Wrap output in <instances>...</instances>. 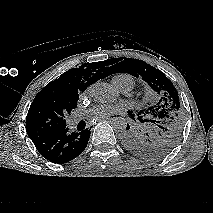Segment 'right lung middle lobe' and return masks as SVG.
<instances>
[{
    "label": "right lung middle lobe",
    "mask_w": 213,
    "mask_h": 213,
    "mask_svg": "<svg viewBox=\"0 0 213 213\" xmlns=\"http://www.w3.org/2000/svg\"><path fill=\"white\" fill-rule=\"evenodd\" d=\"M78 97L60 94L34 99L26 117V130L31 138L66 127L65 116L77 107Z\"/></svg>",
    "instance_id": "right-lung-middle-lobe-1"
}]
</instances>
